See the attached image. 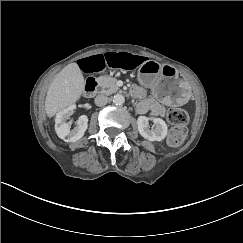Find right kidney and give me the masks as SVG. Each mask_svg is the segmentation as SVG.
<instances>
[{
    "label": "right kidney",
    "mask_w": 243,
    "mask_h": 243,
    "mask_svg": "<svg viewBox=\"0 0 243 243\" xmlns=\"http://www.w3.org/2000/svg\"><path fill=\"white\" fill-rule=\"evenodd\" d=\"M75 109L76 105L72 104L58 112L55 118V131L58 137L65 142H76L84 136L88 127V118L86 115H82L76 121V126L70 130V125L66 121L74 113Z\"/></svg>",
    "instance_id": "obj_1"
}]
</instances>
